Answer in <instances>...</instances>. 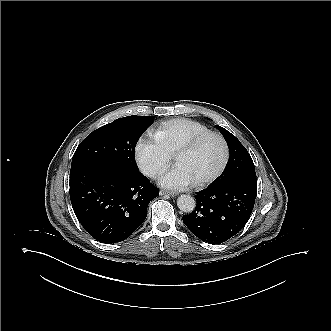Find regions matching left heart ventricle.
Listing matches in <instances>:
<instances>
[{"label":"left heart ventricle","mask_w":331,"mask_h":331,"mask_svg":"<svg viewBox=\"0 0 331 331\" xmlns=\"http://www.w3.org/2000/svg\"><path fill=\"white\" fill-rule=\"evenodd\" d=\"M222 151L220 143L215 138H208L193 150L186 153L179 166L183 168L193 180L211 175L220 164Z\"/></svg>","instance_id":"left-heart-ventricle-1"}]
</instances>
